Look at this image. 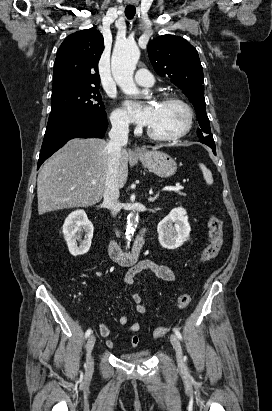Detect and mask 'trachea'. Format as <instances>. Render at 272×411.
Segmentation results:
<instances>
[{
	"instance_id": "trachea-1",
	"label": "trachea",
	"mask_w": 272,
	"mask_h": 411,
	"mask_svg": "<svg viewBox=\"0 0 272 411\" xmlns=\"http://www.w3.org/2000/svg\"><path fill=\"white\" fill-rule=\"evenodd\" d=\"M136 13V8L134 6H127L125 8V16L128 19H132Z\"/></svg>"
}]
</instances>
